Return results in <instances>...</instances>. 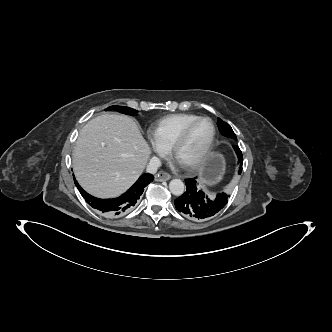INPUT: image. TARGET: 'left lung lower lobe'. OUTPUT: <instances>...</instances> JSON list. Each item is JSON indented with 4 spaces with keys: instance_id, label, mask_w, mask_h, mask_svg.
Listing matches in <instances>:
<instances>
[{
    "instance_id": "0a47b994",
    "label": "left lung lower lobe",
    "mask_w": 332,
    "mask_h": 332,
    "mask_svg": "<svg viewBox=\"0 0 332 332\" xmlns=\"http://www.w3.org/2000/svg\"><path fill=\"white\" fill-rule=\"evenodd\" d=\"M239 162V174L242 171L243 156L239 147L233 146ZM187 190L177 198L175 207L187 218L196 221H205L215 216L227 203L228 196L225 193L218 194L215 199H210L202 190L197 187L194 179L185 180Z\"/></svg>"
}]
</instances>
